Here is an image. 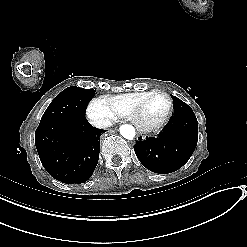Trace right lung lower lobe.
<instances>
[{
	"mask_svg": "<svg viewBox=\"0 0 247 247\" xmlns=\"http://www.w3.org/2000/svg\"><path fill=\"white\" fill-rule=\"evenodd\" d=\"M102 132L86 117L40 123L35 131V146L43 167L63 183L87 181L98 163Z\"/></svg>",
	"mask_w": 247,
	"mask_h": 247,
	"instance_id": "98d812e1",
	"label": "right lung lower lobe"
}]
</instances>
